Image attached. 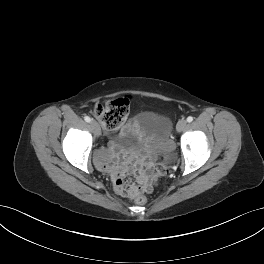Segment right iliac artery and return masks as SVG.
I'll return each mask as SVG.
<instances>
[{"mask_svg":"<svg viewBox=\"0 0 264 264\" xmlns=\"http://www.w3.org/2000/svg\"><path fill=\"white\" fill-rule=\"evenodd\" d=\"M84 120H85L86 122H88V123L91 122V118L88 117V116H85V117H84Z\"/></svg>","mask_w":264,"mask_h":264,"instance_id":"obj_1","label":"right iliac artery"}]
</instances>
